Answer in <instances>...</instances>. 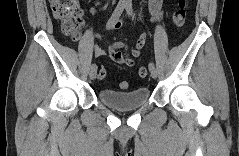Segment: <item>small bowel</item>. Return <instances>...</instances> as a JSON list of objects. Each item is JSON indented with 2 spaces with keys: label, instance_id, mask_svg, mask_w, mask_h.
Returning <instances> with one entry per match:
<instances>
[{
  "label": "small bowel",
  "instance_id": "c3829d8e",
  "mask_svg": "<svg viewBox=\"0 0 239 156\" xmlns=\"http://www.w3.org/2000/svg\"><path fill=\"white\" fill-rule=\"evenodd\" d=\"M146 7L148 12L151 15L152 21L158 22L162 19L164 15V9L161 0H150L146 3ZM122 21L117 20L113 27L114 29L118 30L122 27ZM146 43V34L143 33L135 42L132 47H129L123 41H114L109 50L108 56L109 58L119 64L125 65L127 67H133L135 65V59L140 57L142 54V49ZM95 54L97 56H102L105 52L100 49L96 48Z\"/></svg>",
  "mask_w": 239,
  "mask_h": 156
}]
</instances>
